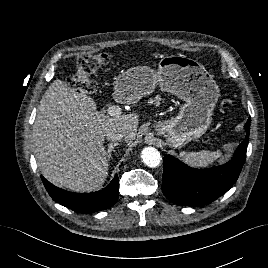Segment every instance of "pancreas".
<instances>
[{
	"mask_svg": "<svg viewBox=\"0 0 268 268\" xmlns=\"http://www.w3.org/2000/svg\"><path fill=\"white\" fill-rule=\"evenodd\" d=\"M160 101H161V98H160L159 96H156V97L153 98V99H152V98L149 99L148 103H150V104H159Z\"/></svg>",
	"mask_w": 268,
	"mask_h": 268,
	"instance_id": "obj_1",
	"label": "pancreas"
}]
</instances>
